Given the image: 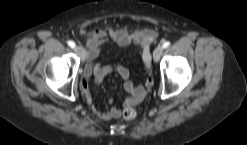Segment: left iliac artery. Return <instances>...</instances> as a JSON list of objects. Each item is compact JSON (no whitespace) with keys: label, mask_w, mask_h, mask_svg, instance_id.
Here are the masks:
<instances>
[{"label":"left iliac artery","mask_w":247,"mask_h":145,"mask_svg":"<svg viewBox=\"0 0 247 145\" xmlns=\"http://www.w3.org/2000/svg\"><path fill=\"white\" fill-rule=\"evenodd\" d=\"M170 46V42L169 41H166L163 43V48H167Z\"/></svg>","instance_id":"left-iliac-artery-1"}]
</instances>
